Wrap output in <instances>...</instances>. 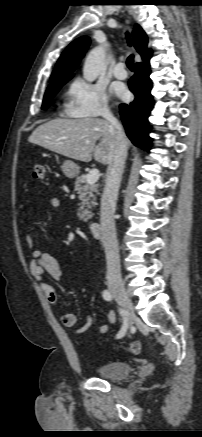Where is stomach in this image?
I'll return each instance as SVG.
<instances>
[{"label":"stomach","instance_id":"obj_1","mask_svg":"<svg viewBox=\"0 0 202 437\" xmlns=\"http://www.w3.org/2000/svg\"><path fill=\"white\" fill-rule=\"evenodd\" d=\"M62 172L68 178H74L79 174V167L71 160H66L61 166Z\"/></svg>","mask_w":202,"mask_h":437}]
</instances>
